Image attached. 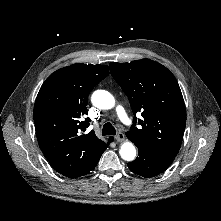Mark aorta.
<instances>
[{
	"instance_id": "1",
	"label": "aorta",
	"mask_w": 221,
	"mask_h": 221,
	"mask_svg": "<svg viewBox=\"0 0 221 221\" xmlns=\"http://www.w3.org/2000/svg\"><path fill=\"white\" fill-rule=\"evenodd\" d=\"M92 104L103 110H108L114 107L115 99L111 93L105 90H96L91 96ZM120 156L126 161H132L136 157V149L133 143L125 142L120 148Z\"/></svg>"
}]
</instances>
